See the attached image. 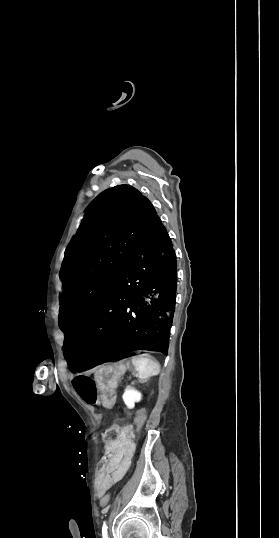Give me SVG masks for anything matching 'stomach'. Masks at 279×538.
Instances as JSON below:
<instances>
[{"mask_svg": "<svg viewBox=\"0 0 279 538\" xmlns=\"http://www.w3.org/2000/svg\"><path fill=\"white\" fill-rule=\"evenodd\" d=\"M124 365L122 360H116L115 363H100L97 367L96 375L98 378L97 389L102 399L101 405L109 409L116 399V386L112 382L118 381V374H123Z\"/></svg>", "mask_w": 279, "mask_h": 538, "instance_id": "0dacf381", "label": "stomach"}]
</instances>
